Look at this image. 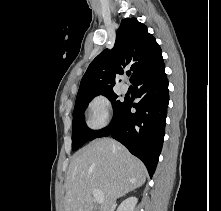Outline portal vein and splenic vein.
<instances>
[{
    "label": "portal vein and splenic vein",
    "instance_id": "obj_1",
    "mask_svg": "<svg viewBox=\"0 0 221 211\" xmlns=\"http://www.w3.org/2000/svg\"><path fill=\"white\" fill-rule=\"evenodd\" d=\"M92 193L97 203L101 204L104 202V195L100 190L93 189Z\"/></svg>",
    "mask_w": 221,
    "mask_h": 211
}]
</instances>
